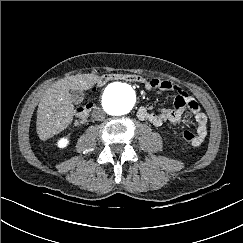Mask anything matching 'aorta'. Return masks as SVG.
<instances>
[{"label":"aorta","mask_w":243,"mask_h":243,"mask_svg":"<svg viewBox=\"0 0 243 243\" xmlns=\"http://www.w3.org/2000/svg\"><path fill=\"white\" fill-rule=\"evenodd\" d=\"M132 87L125 83H112L104 91L102 104L112 115L127 114L133 107Z\"/></svg>","instance_id":"762f6f07"}]
</instances>
